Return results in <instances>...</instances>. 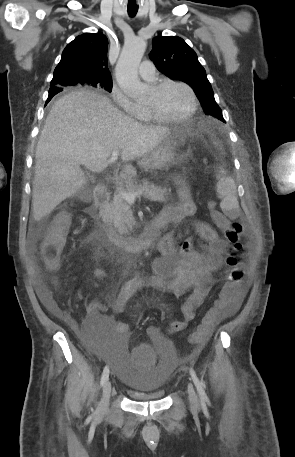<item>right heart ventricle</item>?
Here are the masks:
<instances>
[{"label": "right heart ventricle", "instance_id": "obj_1", "mask_svg": "<svg viewBox=\"0 0 295 457\" xmlns=\"http://www.w3.org/2000/svg\"><path fill=\"white\" fill-rule=\"evenodd\" d=\"M138 120L144 123H150L153 122L154 119L149 115L147 112L146 108L144 106H140V112L139 115L137 116Z\"/></svg>", "mask_w": 295, "mask_h": 457}]
</instances>
